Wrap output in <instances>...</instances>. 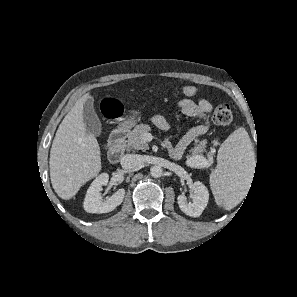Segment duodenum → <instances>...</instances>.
Returning <instances> with one entry per match:
<instances>
[{
    "mask_svg": "<svg viewBox=\"0 0 297 297\" xmlns=\"http://www.w3.org/2000/svg\"><path fill=\"white\" fill-rule=\"evenodd\" d=\"M128 131V126L126 124H121L111 133L108 150V159L111 163H118L121 160Z\"/></svg>",
    "mask_w": 297,
    "mask_h": 297,
    "instance_id": "duodenum-1",
    "label": "duodenum"
}]
</instances>
